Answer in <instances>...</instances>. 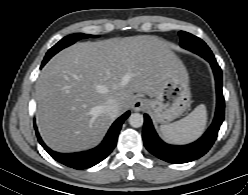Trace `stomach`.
Segmentation results:
<instances>
[{
    "instance_id": "stomach-1",
    "label": "stomach",
    "mask_w": 248,
    "mask_h": 195,
    "mask_svg": "<svg viewBox=\"0 0 248 195\" xmlns=\"http://www.w3.org/2000/svg\"><path fill=\"white\" fill-rule=\"evenodd\" d=\"M190 103L189 79L184 67L176 68L154 99L147 101L158 123H168L180 117L189 108Z\"/></svg>"
}]
</instances>
